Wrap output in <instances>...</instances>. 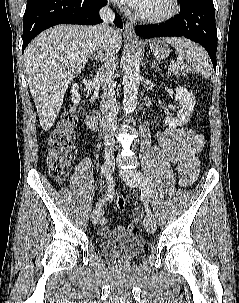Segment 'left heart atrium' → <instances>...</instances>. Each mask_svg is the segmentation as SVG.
<instances>
[{
    "instance_id": "obj_1",
    "label": "left heart atrium",
    "mask_w": 239,
    "mask_h": 303,
    "mask_svg": "<svg viewBox=\"0 0 239 303\" xmlns=\"http://www.w3.org/2000/svg\"><path fill=\"white\" fill-rule=\"evenodd\" d=\"M120 1L129 5L137 12H139V10L142 9L147 2V0H120Z\"/></svg>"
}]
</instances>
